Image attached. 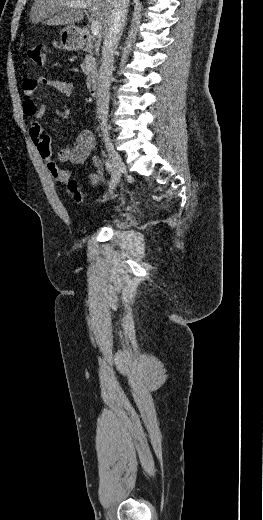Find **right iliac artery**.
I'll list each match as a JSON object with an SVG mask.
<instances>
[{"mask_svg": "<svg viewBox=\"0 0 263 520\" xmlns=\"http://www.w3.org/2000/svg\"><path fill=\"white\" fill-rule=\"evenodd\" d=\"M106 169L110 172L112 170V163L110 159L105 160Z\"/></svg>", "mask_w": 263, "mask_h": 520, "instance_id": "obj_1", "label": "right iliac artery"}]
</instances>
